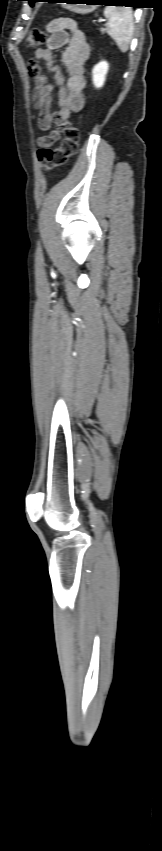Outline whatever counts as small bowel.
Instances as JSON below:
<instances>
[{
	"label": "small bowel",
	"instance_id": "1",
	"mask_svg": "<svg viewBox=\"0 0 162 851\" xmlns=\"http://www.w3.org/2000/svg\"><path fill=\"white\" fill-rule=\"evenodd\" d=\"M49 37L46 46L35 51V60L45 63L48 74L59 86L57 109L52 111V90L49 77L41 72L35 60L28 64V72L35 80L32 95L33 106L39 110L38 126L42 130H49L55 123L58 128L66 124L72 113L79 112L84 106L83 89L85 87L84 67L90 56V47L84 33L78 27L75 20L64 17L51 21L47 25ZM65 48L61 55V62L68 72L65 80L59 71L53 58V50ZM58 129L48 135L38 138V145L49 147L60 138Z\"/></svg>",
	"mask_w": 162,
	"mask_h": 851
}]
</instances>
